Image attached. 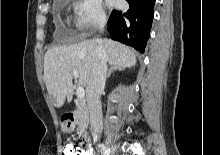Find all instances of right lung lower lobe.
<instances>
[{
    "mask_svg": "<svg viewBox=\"0 0 220 155\" xmlns=\"http://www.w3.org/2000/svg\"><path fill=\"white\" fill-rule=\"evenodd\" d=\"M127 2V11H112L107 29L113 40L132 46L143 53L151 30L155 0Z\"/></svg>",
    "mask_w": 220,
    "mask_h": 155,
    "instance_id": "obj_1",
    "label": "right lung lower lobe"
}]
</instances>
